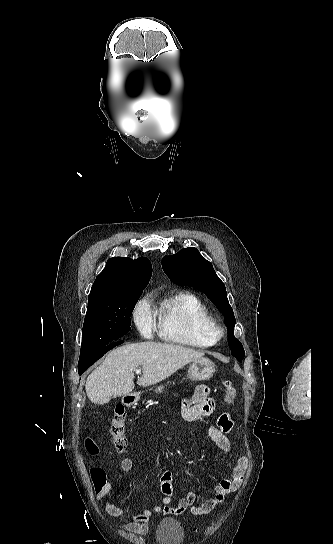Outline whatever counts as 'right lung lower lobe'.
I'll return each instance as SVG.
<instances>
[{
    "label": "right lung lower lobe",
    "instance_id": "98d812e1",
    "mask_svg": "<svg viewBox=\"0 0 333 544\" xmlns=\"http://www.w3.org/2000/svg\"><path fill=\"white\" fill-rule=\"evenodd\" d=\"M121 343H123V341H119V342L114 343V345H113L110 349L114 348L115 346H117V345H119V344H121ZM110 349H109V350H110ZM109 350H108V351H109ZM105 353H106V352H105ZM105 353H104V354H105ZM104 354H102V355H100V356H98V357L92 359L90 362H88L87 364H85L83 367L78 368V370H79V371H78V372H79V375H82V373H83L87 368H89L95 361H97L99 358H101Z\"/></svg>",
    "mask_w": 333,
    "mask_h": 544
}]
</instances>
